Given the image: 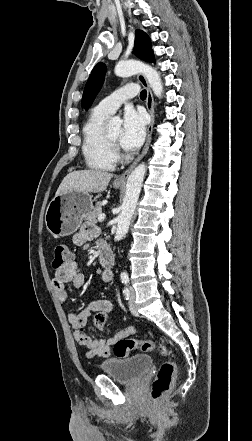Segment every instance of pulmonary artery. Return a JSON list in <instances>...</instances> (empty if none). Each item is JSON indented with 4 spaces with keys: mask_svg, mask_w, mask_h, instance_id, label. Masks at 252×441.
I'll list each match as a JSON object with an SVG mask.
<instances>
[{
    "mask_svg": "<svg viewBox=\"0 0 252 441\" xmlns=\"http://www.w3.org/2000/svg\"><path fill=\"white\" fill-rule=\"evenodd\" d=\"M139 93L136 84L124 85L103 99L94 110L104 115L113 114L125 101L135 97Z\"/></svg>",
    "mask_w": 252,
    "mask_h": 441,
    "instance_id": "1",
    "label": "pulmonary artery"
}]
</instances>
